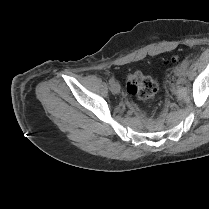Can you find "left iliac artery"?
<instances>
[{
    "label": "left iliac artery",
    "mask_w": 209,
    "mask_h": 209,
    "mask_svg": "<svg viewBox=\"0 0 209 209\" xmlns=\"http://www.w3.org/2000/svg\"><path fill=\"white\" fill-rule=\"evenodd\" d=\"M188 60H184L183 62H182V66H183V68L184 69H187V67H188Z\"/></svg>",
    "instance_id": "1"
}]
</instances>
